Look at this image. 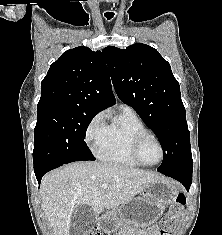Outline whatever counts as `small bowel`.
<instances>
[{"instance_id":"obj_1","label":"small bowel","mask_w":222,"mask_h":235,"mask_svg":"<svg viewBox=\"0 0 222 235\" xmlns=\"http://www.w3.org/2000/svg\"><path fill=\"white\" fill-rule=\"evenodd\" d=\"M151 235H158V232L155 228L151 229Z\"/></svg>"}]
</instances>
